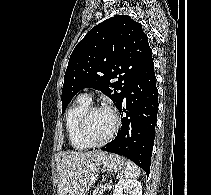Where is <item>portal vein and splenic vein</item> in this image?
Instances as JSON below:
<instances>
[{"mask_svg":"<svg viewBox=\"0 0 211 195\" xmlns=\"http://www.w3.org/2000/svg\"><path fill=\"white\" fill-rule=\"evenodd\" d=\"M107 188H111V183L106 184Z\"/></svg>","mask_w":211,"mask_h":195,"instance_id":"18ae733b","label":"portal vein and splenic vein"}]
</instances>
